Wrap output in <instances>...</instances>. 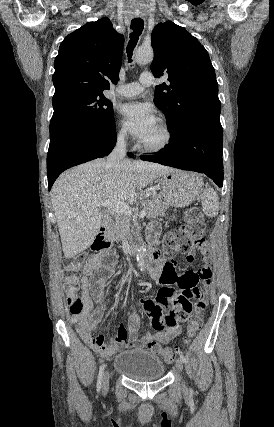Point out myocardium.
<instances>
[{
	"mask_svg": "<svg viewBox=\"0 0 274 427\" xmlns=\"http://www.w3.org/2000/svg\"><path fill=\"white\" fill-rule=\"evenodd\" d=\"M157 121L164 130V133H165L164 141L158 146H149L141 142L138 143V149L149 155L162 154L172 145L174 141V132L171 125L168 123V121H166L163 118H158Z\"/></svg>",
	"mask_w": 274,
	"mask_h": 427,
	"instance_id": "obj_1",
	"label": "myocardium"
}]
</instances>
